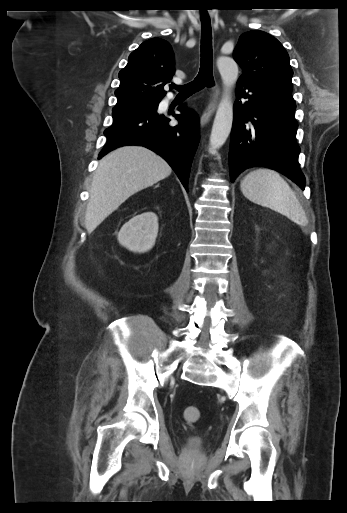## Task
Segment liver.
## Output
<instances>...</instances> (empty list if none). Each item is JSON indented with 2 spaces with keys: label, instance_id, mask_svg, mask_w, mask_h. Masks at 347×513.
<instances>
[{
  "label": "liver",
  "instance_id": "6515ba94",
  "mask_svg": "<svg viewBox=\"0 0 347 513\" xmlns=\"http://www.w3.org/2000/svg\"><path fill=\"white\" fill-rule=\"evenodd\" d=\"M171 167L153 151L142 146H123L100 162L93 176L85 227L91 233L133 194L171 174Z\"/></svg>",
  "mask_w": 347,
  "mask_h": 513
}]
</instances>
